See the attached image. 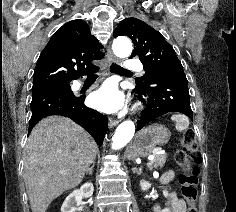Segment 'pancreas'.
I'll use <instances>...</instances> for the list:
<instances>
[{
	"label": "pancreas",
	"instance_id": "1",
	"mask_svg": "<svg viewBox=\"0 0 236 212\" xmlns=\"http://www.w3.org/2000/svg\"><path fill=\"white\" fill-rule=\"evenodd\" d=\"M166 162V156L165 155H156L155 158L150 161L147 165L150 169L152 168H162Z\"/></svg>",
	"mask_w": 236,
	"mask_h": 212
}]
</instances>
